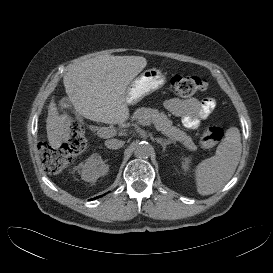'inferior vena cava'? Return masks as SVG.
<instances>
[{
    "label": "inferior vena cava",
    "mask_w": 273,
    "mask_h": 273,
    "mask_svg": "<svg viewBox=\"0 0 273 273\" xmlns=\"http://www.w3.org/2000/svg\"><path fill=\"white\" fill-rule=\"evenodd\" d=\"M124 141L118 139H108L105 141V146L109 149H119L123 147Z\"/></svg>",
    "instance_id": "1"
}]
</instances>
